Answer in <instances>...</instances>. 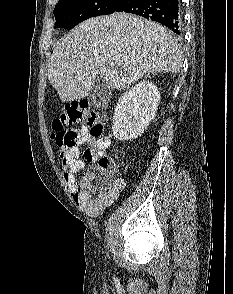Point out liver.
I'll return each instance as SVG.
<instances>
[{"label":"liver","instance_id":"1","mask_svg":"<svg viewBox=\"0 0 233 294\" xmlns=\"http://www.w3.org/2000/svg\"><path fill=\"white\" fill-rule=\"evenodd\" d=\"M113 62L114 67L109 66ZM182 54L168 30L126 13L88 19L54 49L48 78L62 102L88 96L99 75L124 90L149 73H178Z\"/></svg>","mask_w":233,"mask_h":294}]
</instances>
